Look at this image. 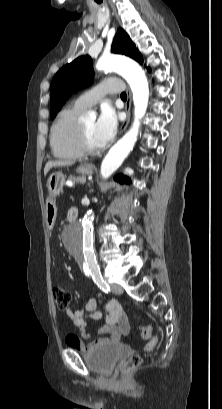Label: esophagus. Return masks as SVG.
Wrapping results in <instances>:
<instances>
[{"label":"esophagus","mask_w":222,"mask_h":409,"mask_svg":"<svg viewBox=\"0 0 222 409\" xmlns=\"http://www.w3.org/2000/svg\"><path fill=\"white\" fill-rule=\"evenodd\" d=\"M127 100L125 103V112H126V119L124 120V122L122 123L121 127H120V132L119 134H122L125 129L127 128L129 122H130V117H131V103H132V93L131 90L129 88H127Z\"/></svg>","instance_id":"obj_1"}]
</instances>
